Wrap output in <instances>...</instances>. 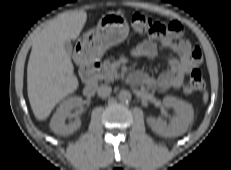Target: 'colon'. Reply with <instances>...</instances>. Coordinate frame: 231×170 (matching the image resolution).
<instances>
[{
    "instance_id": "5ec220e1",
    "label": "colon",
    "mask_w": 231,
    "mask_h": 170,
    "mask_svg": "<svg viewBox=\"0 0 231 170\" xmlns=\"http://www.w3.org/2000/svg\"><path fill=\"white\" fill-rule=\"evenodd\" d=\"M133 29L141 35H148L153 38H161L167 32L166 25L155 22L149 15L135 13L131 18ZM205 88V80L200 70L193 69L184 87L186 93H196Z\"/></svg>"
}]
</instances>
